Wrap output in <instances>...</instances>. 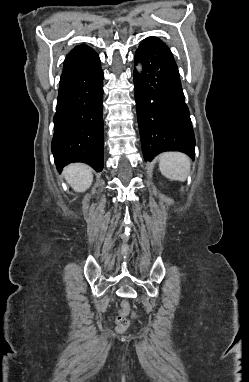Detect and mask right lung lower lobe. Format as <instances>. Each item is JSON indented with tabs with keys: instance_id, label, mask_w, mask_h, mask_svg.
Masks as SVG:
<instances>
[{
	"instance_id": "right-lung-lower-lobe-1",
	"label": "right lung lower lobe",
	"mask_w": 249,
	"mask_h": 382,
	"mask_svg": "<svg viewBox=\"0 0 249 382\" xmlns=\"http://www.w3.org/2000/svg\"><path fill=\"white\" fill-rule=\"evenodd\" d=\"M103 72L99 56L60 81L51 149L58 171L70 162L103 169Z\"/></svg>"
}]
</instances>
